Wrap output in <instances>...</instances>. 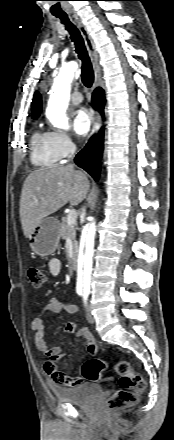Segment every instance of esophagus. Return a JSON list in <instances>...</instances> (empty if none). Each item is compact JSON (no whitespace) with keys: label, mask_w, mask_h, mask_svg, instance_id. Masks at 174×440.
<instances>
[{"label":"esophagus","mask_w":174,"mask_h":440,"mask_svg":"<svg viewBox=\"0 0 174 440\" xmlns=\"http://www.w3.org/2000/svg\"><path fill=\"white\" fill-rule=\"evenodd\" d=\"M75 21L77 23V26L81 32V35L84 39L85 42V46L87 48L92 66H93V70H94V74H95V82H94V87L99 86L100 84V66H99V62H98V53L95 47V44L93 42V39L91 38L89 31L87 30V27L85 26V24L81 21L80 18L76 17ZM101 126V118L99 116L98 113H93V133H97V131L100 129Z\"/></svg>","instance_id":"esophagus-1"}]
</instances>
